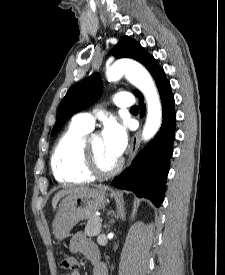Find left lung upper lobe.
I'll return each instance as SVG.
<instances>
[{"label": "left lung upper lobe", "instance_id": "obj_1", "mask_svg": "<svg viewBox=\"0 0 225 275\" xmlns=\"http://www.w3.org/2000/svg\"><path fill=\"white\" fill-rule=\"evenodd\" d=\"M111 54L117 58H132L139 61L149 70L153 78L162 70L154 57L129 36L121 37ZM101 88L102 81L99 74H93L73 85L60 103L52 135L56 134L74 113L95 103ZM134 94L138 96L141 93L135 90Z\"/></svg>", "mask_w": 225, "mask_h": 275}]
</instances>
